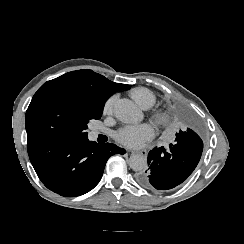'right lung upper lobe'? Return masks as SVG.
Segmentation results:
<instances>
[{
	"label": "right lung upper lobe",
	"instance_id": "obj_1",
	"mask_svg": "<svg viewBox=\"0 0 244 244\" xmlns=\"http://www.w3.org/2000/svg\"><path fill=\"white\" fill-rule=\"evenodd\" d=\"M60 77L75 80L88 86L99 98L105 101L114 92L128 87L126 84L114 83L104 76L87 69L72 71Z\"/></svg>",
	"mask_w": 244,
	"mask_h": 244
}]
</instances>
